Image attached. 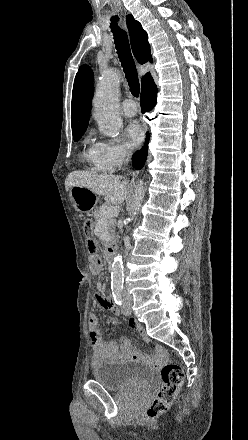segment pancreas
<instances>
[{
    "mask_svg": "<svg viewBox=\"0 0 248 440\" xmlns=\"http://www.w3.org/2000/svg\"><path fill=\"white\" fill-rule=\"evenodd\" d=\"M107 207H108L107 204H104V205L98 207V208L95 210V212H94V217H95V219H96L97 221L100 220V219H104V220L107 222L108 230H109L110 233L112 234L113 231H114V227H115V219H114V217H103V216H102V210H103L104 208H107Z\"/></svg>",
    "mask_w": 248,
    "mask_h": 440,
    "instance_id": "cf45deb5",
    "label": "pancreas"
}]
</instances>
